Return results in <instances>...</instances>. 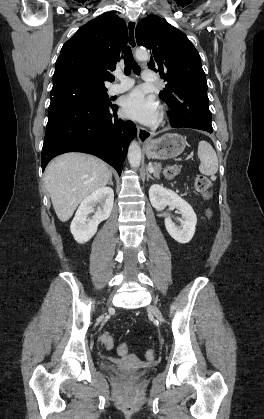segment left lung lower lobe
<instances>
[{
	"mask_svg": "<svg viewBox=\"0 0 264 419\" xmlns=\"http://www.w3.org/2000/svg\"><path fill=\"white\" fill-rule=\"evenodd\" d=\"M185 100L176 104L168 105L170 124L174 128H195L209 133L213 132L211 125V112L208 107L209 99L206 92H198L183 97Z\"/></svg>",
	"mask_w": 264,
	"mask_h": 419,
	"instance_id": "1",
	"label": "left lung lower lobe"
}]
</instances>
